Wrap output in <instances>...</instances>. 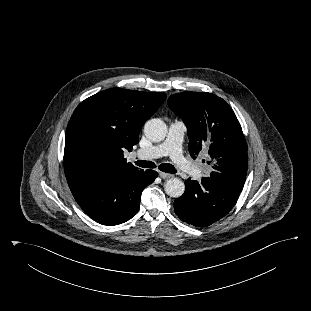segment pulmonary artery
<instances>
[{
  "instance_id": "obj_1",
  "label": "pulmonary artery",
  "mask_w": 311,
  "mask_h": 311,
  "mask_svg": "<svg viewBox=\"0 0 311 311\" xmlns=\"http://www.w3.org/2000/svg\"><path fill=\"white\" fill-rule=\"evenodd\" d=\"M186 126L182 121L170 123L166 139L155 146L140 149L136 155L143 159H153L162 156H170L177 167L186 174L200 177L204 173V168L197 166L187 160L182 151V142Z\"/></svg>"
}]
</instances>
